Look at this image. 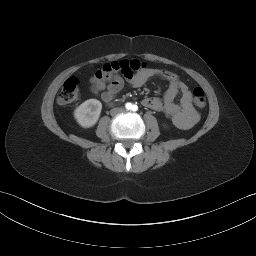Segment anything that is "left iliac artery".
<instances>
[{
  "mask_svg": "<svg viewBox=\"0 0 256 256\" xmlns=\"http://www.w3.org/2000/svg\"><path fill=\"white\" fill-rule=\"evenodd\" d=\"M138 110V106L137 105H133L132 106V111H137Z\"/></svg>",
  "mask_w": 256,
  "mask_h": 256,
  "instance_id": "1",
  "label": "left iliac artery"
}]
</instances>
